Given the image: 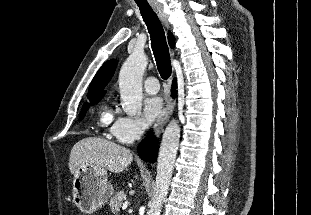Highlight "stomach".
Segmentation results:
<instances>
[{"label":"stomach","instance_id":"stomach-1","mask_svg":"<svg viewBox=\"0 0 311 215\" xmlns=\"http://www.w3.org/2000/svg\"><path fill=\"white\" fill-rule=\"evenodd\" d=\"M113 192L106 170L89 166L77 169L73 180V201L82 212L96 211Z\"/></svg>","mask_w":311,"mask_h":215}]
</instances>
